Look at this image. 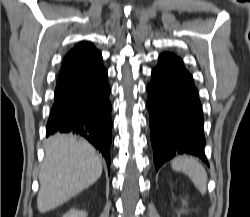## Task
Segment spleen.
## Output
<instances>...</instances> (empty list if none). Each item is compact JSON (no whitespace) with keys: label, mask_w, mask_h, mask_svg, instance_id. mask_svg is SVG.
<instances>
[{"label":"spleen","mask_w":250,"mask_h":217,"mask_svg":"<svg viewBox=\"0 0 250 217\" xmlns=\"http://www.w3.org/2000/svg\"><path fill=\"white\" fill-rule=\"evenodd\" d=\"M171 166L173 170L186 174L201 194L206 193L207 173L195 158L181 156L172 160Z\"/></svg>","instance_id":"obj_1"}]
</instances>
